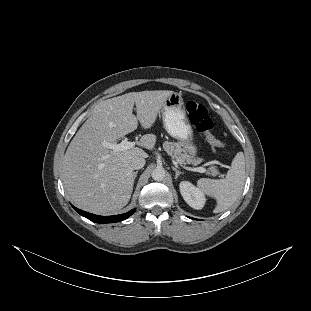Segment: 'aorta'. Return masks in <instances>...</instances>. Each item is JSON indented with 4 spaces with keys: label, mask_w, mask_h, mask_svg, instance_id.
Here are the masks:
<instances>
[{
    "label": "aorta",
    "mask_w": 311,
    "mask_h": 311,
    "mask_svg": "<svg viewBox=\"0 0 311 311\" xmlns=\"http://www.w3.org/2000/svg\"><path fill=\"white\" fill-rule=\"evenodd\" d=\"M151 176H152V179L155 181H162L166 176V172L163 168H155L152 171Z\"/></svg>",
    "instance_id": "762f6f07"
}]
</instances>
